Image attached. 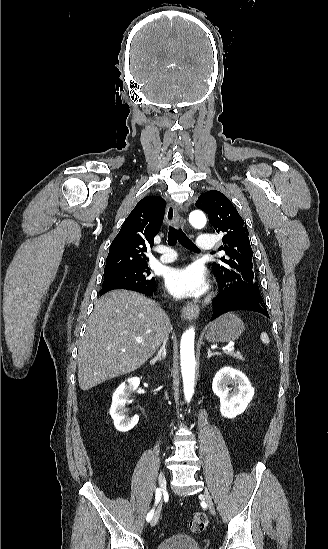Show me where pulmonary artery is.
Listing matches in <instances>:
<instances>
[{
  "label": "pulmonary artery",
  "mask_w": 328,
  "mask_h": 549,
  "mask_svg": "<svg viewBox=\"0 0 328 549\" xmlns=\"http://www.w3.org/2000/svg\"><path fill=\"white\" fill-rule=\"evenodd\" d=\"M194 244L197 248H201L203 252H216L219 248L218 243L214 241L213 237H197ZM160 259L162 262L168 263L175 259V254L164 248Z\"/></svg>",
  "instance_id": "obj_1"
}]
</instances>
